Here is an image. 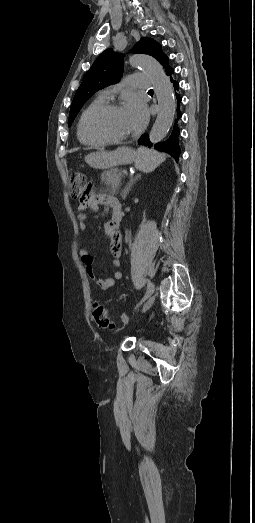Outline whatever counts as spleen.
Returning <instances> with one entry per match:
<instances>
[{"label":"spleen","instance_id":"3e777b00","mask_svg":"<svg viewBox=\"0 0 255 523\" xmlns=\"http://www.w3.org/2000/svg\"><path fill=\"white\" fill-rule=\"evenodd\" d=\"M138 158L135 160V168L140 172H154L155 168H158L162 162H165V154L156 152V150H148V148H139Z\"/></svg>","mask_w":255,"mask_h":523}]
</instances>
